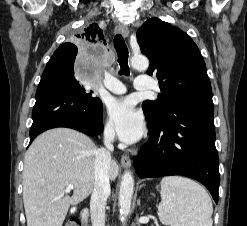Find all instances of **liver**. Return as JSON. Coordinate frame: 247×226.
I'll return each mask as SVG.
<instances>
[{
    "mask_svg": "<svg viewBox=\"0 0 247 226\" xmlns=\"http://www.w3.org/2000/svg\"><path fill=\"white\" fill-rule=\"evenodd\" d=\"M96 146L69 128L48 130L38 136L25 154L23 202L27 226H62L70 205L86 199L94 189ZM119 167L112 161L109 178ZM73 185V195L65 192Z\"/></svg>",
    "mask_w": 247,
    "mask_h": 226,
    "instance_id": "6515ba94",
    "label": "liver"
}]
</instances>
